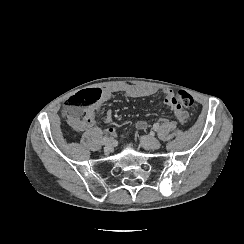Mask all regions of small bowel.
Listing matches in <instances>:
<instances>
[{
  "label": "small bowel",
  "instance_id": "1",
  "mask_svg": "<svg viewBox=\"0 0 244 244\" xmlns=\"http://www.w3.org/2000/svg\"><path fill=\"white\" fill-rule=\"evenodd\" d=\"M97 90L101 94L100 99L94 105L86 108V110L89 112V114L91 116V125L89 128L93 127L96 124L97 119L100 116L101 107H102L103 103H105L106 101L111 99L115 94L120 93V94H123V95L131 97V98H144V97L150 96L156 92V90L151 87L132 86V85H127V84H113V85H109L105 88H102L100 90L99 89H97ZM163 94H164V100H163L164 104L166 106L171 107L174 116L180 123H182V124L186 123L189 119V114L182 107H179L172 103V98H173L172 90L166 88L163 90ZM104 121L107 123H110L112 121V114L110 111L105 112ZM162 121H166V120L162 119ZM137 128L146 129L147 123L145 121H143L142 124L137 125Z\"/></svg>",
  "mask_w": 244,
  "mask_h": 244
}]
</instances>
